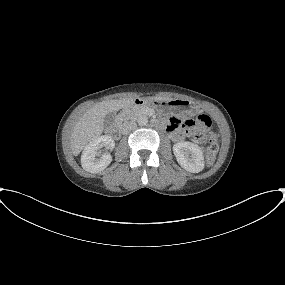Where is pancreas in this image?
Masks as SVG:
<instances>
[{"instance_id":"cf45deb5","label":"pancreas","mask_w":285,"mask_h":285,"mask_svg":"<svg viewBox=\"0 0 285 285\" xmlns=\"http://www.w3.org/2000/svg\"><path fill=\"white\" fill-rule=\"evenodd\" d=\"M143 112H144L143 108L132 107V106L126 107L120 114V121H125L128 119L135 118L140 114H142Z\"/></svg>"}]
</instances>
